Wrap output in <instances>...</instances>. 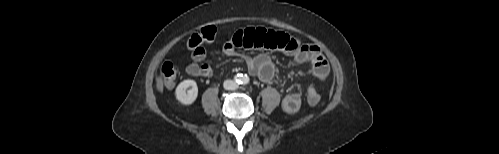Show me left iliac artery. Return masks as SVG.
<instances>
[{
	"instance_id": "1",
	"label": "left iliac artery",
	"mask_w": 499,
	"mask_h": 154,
	"mask_svg": "<svg viewBox=\"0 0 499 154\" xmlns=\"http://www.w3.org/2000/svg\"><path fill=\"white\" fill-rule=\"evenodd\" d=\"M250 82V78L247 75L243 76L242 84L247 85Z\"/></svg>"
}]
</instances>
